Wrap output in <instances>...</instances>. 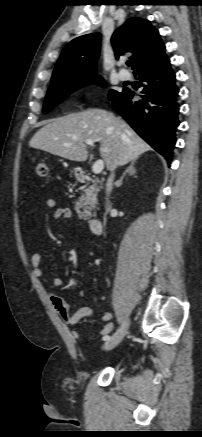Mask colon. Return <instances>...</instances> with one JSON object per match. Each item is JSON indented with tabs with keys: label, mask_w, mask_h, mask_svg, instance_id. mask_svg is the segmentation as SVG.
<instances>
[{
	"label": "colon",
	"mask_w": 202,
	"mask_h": 437,
	"mask_svg": "<svg viewBox=\"0 0 202 437\" xmlns=\"http://www.w3.org/2000/svg\"><path fill=\"white\" fill-rule=\"evenodd\" d=\"M35 172L38 177H42V178L47 177L49 173L48 163L44 160L38 162L36 165Z\"/></svg>",
	"instance_id": "obj_1"
}]
</instances>
